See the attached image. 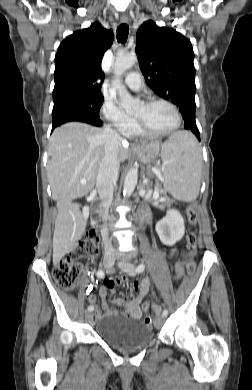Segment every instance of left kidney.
Segmentation results:
<instances>
[{
    "mask_svg": "<svg viewBox=\"0 0 252 390\" xmlns=\"http://www.w3.org/2000/svg\"><path fill=\"white\" fill-rule=\"evenodd\" d=\"M156 232L161 242L173 246L180 241L185 233L184 219L179 211L170 209L166 216L156 224Z\"/></svg>",
    "mask_w": 252,
    "mask_h": 390,
    "instance_id": "left-kidney-1",
    "label": "left kidney"
}]
</instances>
